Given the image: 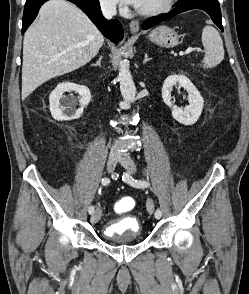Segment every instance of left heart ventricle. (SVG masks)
Wrapping results in <instances>:
<instances>
[{"label": "left heart ventricle", "mask_w": 249, "mask_h": 294, "mask_svg": "<svg viewBox=\"0 0 249 294\" xmlns=\"http://www.w3.org/2000/svg\"><path fill=\"white\" fill-rule=\"evenodd\" d=\"M167 0H141L138 7L141 9H153L163 5Z\"/></svg>", "instance_id": "b2bd125f"}]
</instances>
